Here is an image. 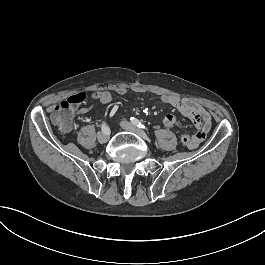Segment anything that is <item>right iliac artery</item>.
Wrapping results in <instances>:
<instances>
[{
  "mask_svg": "<svg viewBox=\"0 0 265 265\" xmlns=\"http://www.w3.org/2000/svg\"><path fill=\"white\" fill-rule=\"evenodd\" d=\"M102 132H110V129L105 125V123L102 124Z\"/></svg>",
  "mask_w": 265,
  "mask_h": 265,
  "instance_id": "right-iliac-artery-1",
  "label": "right iliac artery"
}]
</instances>
